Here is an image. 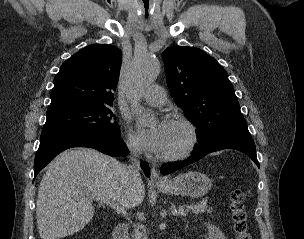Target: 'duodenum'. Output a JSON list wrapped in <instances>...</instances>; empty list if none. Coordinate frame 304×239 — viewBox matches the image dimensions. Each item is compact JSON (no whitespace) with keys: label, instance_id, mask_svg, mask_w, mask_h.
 <instances>
[{"label":"duodenum","instance_id":"duodenum-1","mask_svg":"<svg viewBox=\"0 0 304 239\" xmlns=\"http://www.w3.org/2000/svg\"><path fill=\"white\" fill-rule=\"evenodd\" d=\"M113 239H129L128 227L124 223H120L116 226L113 234Z\"/></svg>","mask_w":304,"mask_h":239}]
</instances>
